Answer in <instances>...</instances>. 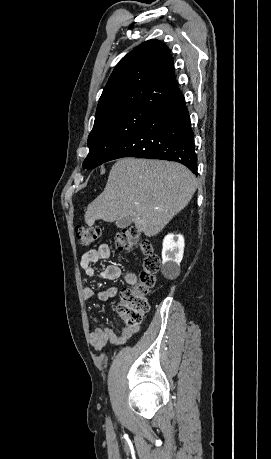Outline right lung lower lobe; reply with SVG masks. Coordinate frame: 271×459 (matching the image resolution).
I'll return each mask as SVG.
<instances>
[{"mask_svg": "<svg viewBox=\"0 0 271 459\" xmlns=\"http://www.w3.org/2000/svg\"><path fill=\"white\" fill-rule=\"evenodd\" d=\"M123 157L176 161L197 175L194 132L182 93L137 128L107 161Z\"/></svg>", "mask_w": 271, "mask_h": 459, "instance_id": "right-lung-lower-lobe-1", "label": "right lung lower lobe"}]
</instances>
